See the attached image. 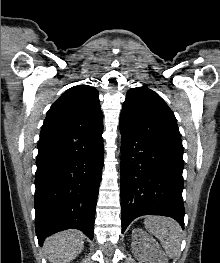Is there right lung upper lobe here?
Segmentation results:
<instances>
[{"label": "right lung upper lobe", "instance_id": "obj_1", "mask_svg": "<svg viewBox=\"0 0 220 263\" xmlns=\"http://www.w3.org/2000/svg\"><path fill=\"white\" fill-rule=\"evenodd\" d=\"M98 95L89 85H77L64 92L49 109L40 140L73 139L102 129Z\"/></svg>", "mask_w": 220, "mask_h": 263}]
</instances>
